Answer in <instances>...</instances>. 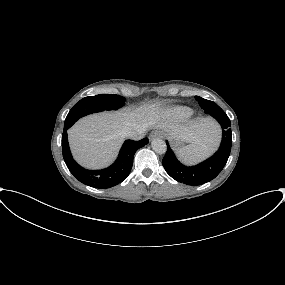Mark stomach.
Returning <instances> with one entry per match:
<instances>
[{
    "label": "stomach",
    "mask_w": 285,
    "mask_h": 285,
    "mask_svg": "<svg viewBox=\"0 0 285 285\" xmlns=\"http://www.w3.org/2000/svg\"><path fill=\"white\" fill-rule=\"evenodd\" d=\"M171 138L174 140L175 146H179V145H183V144L187 143V142H185V141L178 140V139L173 138V137H171Z\"/></svg>",
    "instance_id": "1"
}]
</instances>
